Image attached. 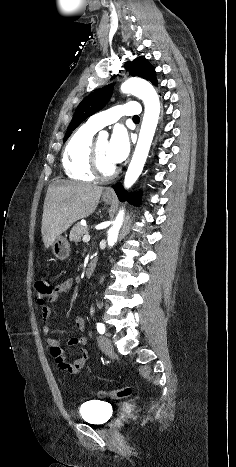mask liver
Returning <instances> with one entry per match:
<instances>
[{
	"label": "liver",
	"mask_w": 236,
	"mask_h": 467,
	"mask_svg": "<svg viewBox=\"0 0 236 467\" xmlns=\"http://www.w3.org/2000/svg\"><path fill=\"white\" fill-rule=\"evenodd\" d=\"M103 187L57 180L50 184L43 206L41 234L44 245L52 242L76 221L90 216Z\"/></svg>",
	"instance_id": "1"
}]
</instances>
